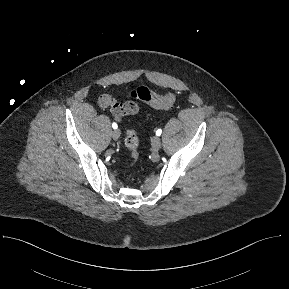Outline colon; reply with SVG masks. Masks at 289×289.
Instances as JSON below:
<instances>
[{
    "label": "colon",
    "instance_id": "1",
    "mask_svg": "<svg viewBox=\"0 0 289 289\" xmlns=\"http://www.w3.org/2000/svg\"><path fill=\"white\" fill-rule=\"evenodd\" d=\"M131 98L145 102L157 109H167L175 102L174 94H157L146 87H139L133 90L131 92ZM124 146L131 152L133 159L136 160L139 139L134 129L126 131L124 136Z\"/></svg>",
    "mask_w": 289,
    "mask_h": 289
}]
</instances>
